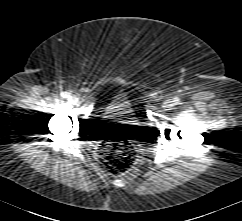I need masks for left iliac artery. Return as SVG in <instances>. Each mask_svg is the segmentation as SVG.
Masks as SVG:
<instances>
[{"instance_id": "1", "label": "left iliac artery", "mask_w": 242, "mask_h": 221, "mask_svg": "<svg viewBox=\"0 0 242 221\" xmlns=\"http://www.w3.org/2000/svg\"><path fill=\"white\" fill-rule=\"evenodd\" d=\"M173 101H174L175 104H179L180 99L178 97H175Z\"/></svg>"}]
</instances>
